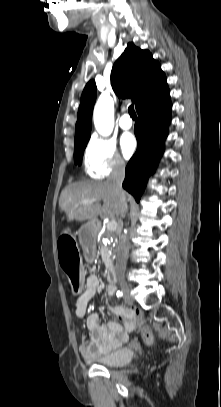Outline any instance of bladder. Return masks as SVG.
<instances>
[{
	"mask_svg": "<svg viewBox=\"0 0 221 407\" xmlns=\"http://www.w3.org/2000/svg\"><path fill=\"white\" fill-rule=\"evenodd\" d=\"M134 356L135 350L133 347H120L107 354L94 356L89 361L104 367L118 368L128 365Z\"/></svg>",
	"mask_w": 221,
	"mask_h": 407,
	"instance_id": "31cf9c89",
	"label": "bladder"
}]
</instances>
